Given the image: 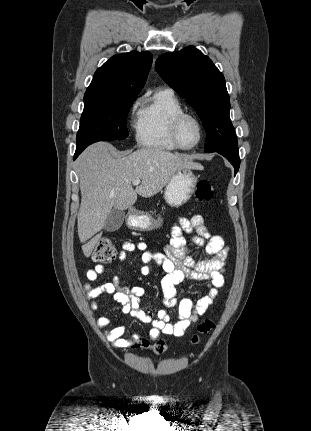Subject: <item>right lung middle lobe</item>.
Listing matches in <instances>:
<instances>
[{"label":"right lung middle lobe","instance_id":"dd1d6c3e","mask_svg":"<svg viewBox=\"0 0 311 431\" xmlns=\"http://www.w3.org/2000/svg\"><path fill=\"white\" fill-rule=\"evenodd\" d=\"M136 97L85 93L77 145L127 138L126 118Z\"/></svg>","mask_w":311,"mask_h":431}]
</instances>
